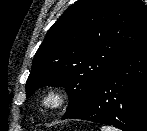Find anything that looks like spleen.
<instances>
[{
  "mask_svg": "<svg viewBox=\"0 0 147 131\" xmlns=\"http://www.w3.org/2000/svg\"><path fill=\"white\" fill-rule=\"evenodd\" d=\"M101 131H119V130H117L116 128H114L112 126L104 125V126H102Z\"/></svg>",
  "mask_w": 147,
  "mask_h": 131,
  "instance_id": "spleen-1",
  "label": "spleen"
}]
</instances>
